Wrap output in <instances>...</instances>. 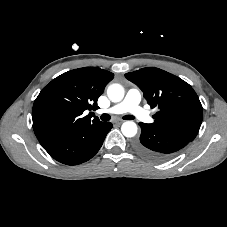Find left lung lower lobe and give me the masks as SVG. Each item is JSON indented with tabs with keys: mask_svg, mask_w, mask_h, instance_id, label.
I'll return each instance as SVG.
<instances>
[{
	"mask_svg": "<svg viewBox=\"0 0 227 227\" xmlns=\"http://www.w3.org/2000/svg\"><path fill=\"white\" fill-rule=\"evenodd\" d=\"M139 125L141 135L135 141L134 148L140 155L152 161L168 160L192 141L190 138L172 131L153 128L145 123H139Z\"/></svg>",
	"mask_w": 227,
	"mask_h": 227,
	"instance_id": "left-lung-lower-lobe-1",
	"label": "left lung lower lobe"
}]
</instances>
